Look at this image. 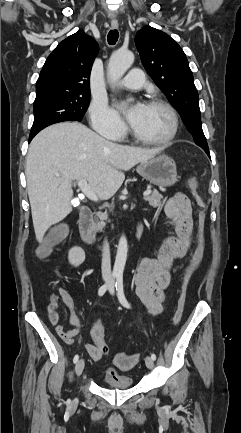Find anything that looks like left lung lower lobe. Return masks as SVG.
Returning <instances> with one entry per match:
<instances>
[{"instance_id":"1","label":"left lung lower lobe","mask_w":241,"mask_h":433,"mask_svg":"<svg viewBox=\"0 0 241 433\" xmlns=\"http://www.w3.org/2000/svg\"><path fill=\"white\" fill-rule=\"evenodd\" d=\"M204 151L207 153V155L210 157L209 149H204Z\"/></svg>"}]
</instances>
